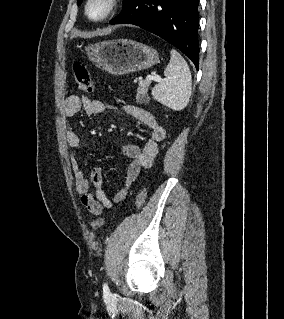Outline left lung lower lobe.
<instances>
[{
    "label": "left lung lower lobe",
    "instance_id": "1",
    "mask_svg": "<svg viewBox=\"0 0 284 319\" xmlns=\"http://www.w3.org/2000/svg\"><path fill=\"white\" fill-rule=\"evenodd\" d=\"M199 0H131L110 24H134L181 50L198 69Z\"/></svg>",
    "mask_w": 284,
    "mask_h": 319
}]
</instances>
